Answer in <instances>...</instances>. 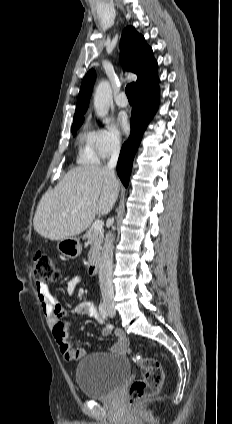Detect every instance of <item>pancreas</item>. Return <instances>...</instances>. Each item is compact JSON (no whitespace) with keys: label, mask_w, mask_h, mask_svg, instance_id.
Here are the masks:
<instances>
[{"label":"pancreas","mask_w":232,"mask_h":424,"mask_svg":"<svg viewBox=\"0 0 232 424\" xmlns=\"http://www.w3.org/2000/svg\"><path fill=\"white\" fill-rule=\"evenodd\" d=\"M103 234V230H95L93 226H91L84 235V238L88 239V242L91 245L90 251L88 253L89 263H92L99 256L101 244L103 241Z\"/></svg>","instance_id":"pancreas-1"}]
</instances>
